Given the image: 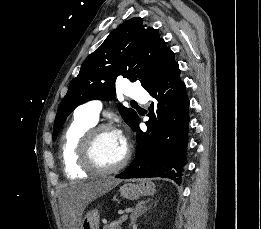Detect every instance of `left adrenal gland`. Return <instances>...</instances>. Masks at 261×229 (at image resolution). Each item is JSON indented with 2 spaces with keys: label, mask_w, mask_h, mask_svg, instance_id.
Masks as SVG:
<instances>
[{
  "label": "left adrenal gland",
  "mask_w": 261,
  "mask_h": 229,
  "mask_svg": "<svg viewBox=\"0 0 261 229\" xmlns=\"http://www.w3.org/2000/svg\"><path fill=\"white\" fill-rule=\"evenodd\" d=\"M151 201H153V199H151ZM145 203H149V201H140V203H138V205H136L135 207V211H132L131 215H130V225H129V229L130 227H132V225H134L135 221H137L138 217H141V215H143V213H146V211H148L147 207H143V205H145Z\"/></svg>",
  "instance_id": "1"
}]
</instances>
